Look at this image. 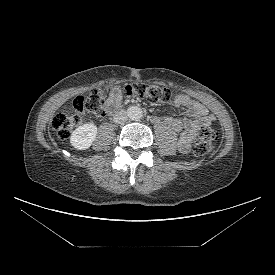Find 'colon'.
Here are the masks:
<instances>
[{
    "label": "colon",
    "mask_w": 275,
    "mask_h": 275,
    "mask_svg": "<svg viewBox=\"0 0 275 275\" xmlns=\"http://www.w3.org/2000/svg\"><path fill=\"white\" fill-rule=\"evenodd\" d=\"M122 94L132 99H144L152 104L175 101L171 91L165 87L134 83L127 85ZM107 90L105 88L93 89L87 95H81L74 99L75 113L61 112L52 120V127L61 139H67L71 132L83 123V115L103 116L106 111L105 100ZM218 132L209 124H202L198 132V140L194 147V154L203 157L213 150L214 141Z\"/></svg>",
    "instance_id": "1"
}]
</instances>
